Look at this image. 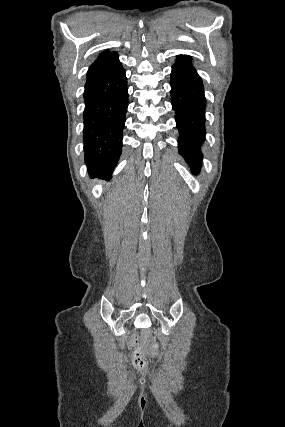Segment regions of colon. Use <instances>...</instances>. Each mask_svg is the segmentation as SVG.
I'll return each mask as SVG.
<instances>
[{
    "instance_id": "colon-1",
    "label": "colon",
    "mask_w": 285,
    "mask_h": 427,
    "mask_svg": "<svg viewBox=\"0 0 285 427\" xmlns=\"http://www.w3.org/2000/svg\"><path fill=\"white\" fill-rule=\"evenodd\" d=\"M158 346L156 344L152 345V350L157 352ZM133 363L137 368H143L146 364L145 359L142 356L141 349L137 348L133 352Z\"/></svg>"
}]
</instances>
